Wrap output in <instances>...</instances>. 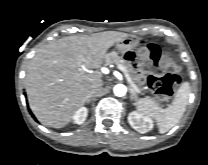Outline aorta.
<instances>
[{"label":"aorta","mask_w":208,"mask_h":165,"mask_svg":"<svg viewBox=\"0 0 208 165\" xmlns=\"http://www.w3.org/2000/svg\"><path fill=\"white\" fill-rule=\"evenodd\" d=\"M113 92L116 96L123 97L127 92V88L123 84H117L114 86Z\"/></svg>","instance_id":"aorta-1"}]
</instances>
